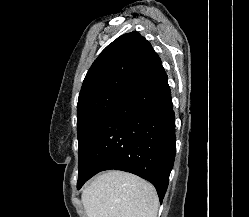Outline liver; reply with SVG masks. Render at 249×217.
<instances>
[{
  "label": "liver",
  "instance_id": "obj_1",
  "mask_svg": "<svg viewBox=\"0 0 249 217\" xmlns=\"http://www.w3.org/2000/svg\"><path fill=\"white\" fill-rule=\"evenodd\" d=\"M87 217H157L155 188L130 173L111 170L94 178L81 195Z\"/></svg>",
  "mask_w": 249,
  "mask_h": 217
}]
</instances>
